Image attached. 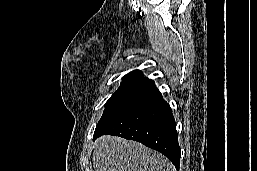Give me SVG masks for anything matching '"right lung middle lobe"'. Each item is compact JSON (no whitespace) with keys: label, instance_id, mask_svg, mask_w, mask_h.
<instances>
[{"label":"right lung middle lobe","instance_id":"1","mask_svg":"<svg viewBox=\"0 0 257 171\" xmlns=\"http://www.w3.org/2000/svg\"><path fill=\"white\" fill-rule=\"evenodd\" d=\"M147 90L148 88L146 86L131 89V90L119 88L106 102L104 113L100 118L96 128L100 127L109 118H111L116 112H118L125 105H127L129 102H131L133 99L140 96Z\"/></svg>","mask_w":257,"mask_h":171}]
</instances>
